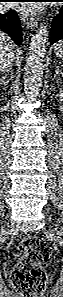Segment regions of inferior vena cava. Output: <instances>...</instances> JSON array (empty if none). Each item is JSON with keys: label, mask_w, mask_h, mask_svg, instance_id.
<instances>
[{"label": "inferior vena cava", "mask_w": 63, "mask_h": 297, "mask_svg": "<svg viewBox=\"0 0 63 297\" xmlns=\"http://www.w3.org/2000/svg\"><path fill=\"white\" fill-rule=\"evenodd\" d=\"M14 62V53L9 51L5 54H2L0 57V71L1 73L10 72L13 67Z\"/></svg>", "instance_id": "inferior-vena-cava-1"}]
</instances>
